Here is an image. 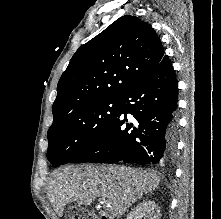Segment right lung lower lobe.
Wrapping results in <instances>:
<instances>
[{
	"label": "right lung lower lobe",
	"instance_id": "98d812e1",
	"mask_svg": "<svg viewBox=\"0 0 221 219\" xmlns=\"http://www.w3.org/2000/svg\"><path fill=\"white\" fill-rule=\"evenodd\" d=\"M177 80L167 56L121 97L120 110L99 139L70 163L166 164L175 155ZM127 114L133 117L128 121Z\"/></svg>",
	"mask_w": 221,
	"mask_h": 219
}]
</instances>
